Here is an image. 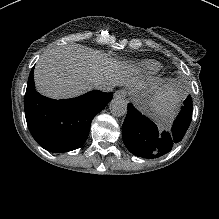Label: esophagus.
Returning a JSON list of instances; mask_svg holds the SVG:
<instances>
[{
  "label": "esophagus",
  "instance_id": "1",
  "mask_svg": "<svg viewBox=\"0 0 219 219\" xmlns=\"http://www.w3.org/2000/svg\"><path fill=\"white\" fill-rule=\"evenodd\" d=\"M127 96V92L126 90H118L115 92L114 94V98L117 100V99H124L125 97Z\"/></svg>",
  "mask_w": 219,
  "mask_h": 219
}]
</instances>
